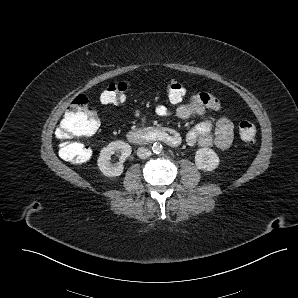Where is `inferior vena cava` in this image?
<instances>
[{
	"label": "inferior vena cava",
	"instance_id": "602c4592",
	"mask_svg": "<svg viewBox=\"0 0 298 298\" xmlns=\"http://www.w3.org/2000/svg\"><path fill=\"white\" fill-rule=\"evenodd\" d=\"M151 155V151L148 148L145 147H139L137 149V156L140 159H146Z\"/></svg>",
	"mask_w": 298,
	"mask_h": 298
}]
</instances>
